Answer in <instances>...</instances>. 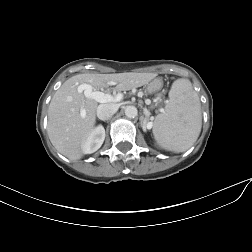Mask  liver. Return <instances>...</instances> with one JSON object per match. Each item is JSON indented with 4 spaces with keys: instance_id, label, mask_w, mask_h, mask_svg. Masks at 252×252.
I'll return each instance as SVG.
<instances>
[{
    "instance_id": "obj_1",
    "label": "liver",
    "mask_w": 252,
    "mask_h": 252,
    "mask_svg": "<svg viewBox=\"0 0 252 252\" xmlns=\"http://www.w3.org/2000/svg\"><path fill=\"white\" fill-rule=\"evenodd\" d=\"M154 77L152 73L133 72L72 76L55 92L48 108L47 132L52 145L71 160L84 154L82 145L95 125L98 102L78 92L80 84H89L93 90L116 85L115 90L126 91L146 85Z\"/></svg>"
}]
</instances>
